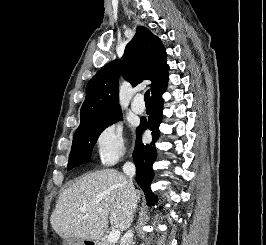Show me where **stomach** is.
<instances>
[{
  "label": "stomach",
  "instance_id": "1",
  "mask_svg": "<svg viewBox=\"0 0 266 245\" xmlns=\"http://www.w3.org/2000/svg\"><path fill=\"white\" fill-rule=\"evenodd\" d=\"M87 243H92V245H98L96 241H81V239H76L75 243L73 245H87Z\"/></svg>",
  "mask_w": 266,
  "mask_h": 245
}]
</instances>
